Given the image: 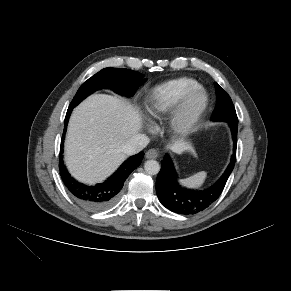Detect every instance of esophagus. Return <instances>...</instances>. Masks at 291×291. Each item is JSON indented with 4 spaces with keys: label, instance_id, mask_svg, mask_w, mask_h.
<instances>
[{
    "label": "esophagus",
    "instance_id": "esophagus-1",
    "mask_svg": "<svg viewBox=\"0 0 291 291\" xmlns=\"http://www.w3.org/2000/svg\"><path fill=\"white\" fill-rule=\"evenodd\" d=\"M158 155H159V152L156 149H149L145 154L147 159H155L158 157Z\"/></svg>",
    "mask_w": 291,
    "mask_h": 291
}]
</instances>
